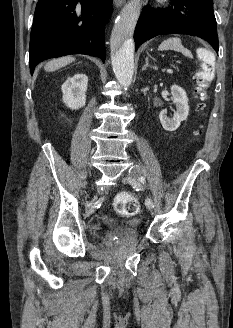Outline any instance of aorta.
<instances>
[{"mask_svg":"<svg viewBox=\"0 0 233 328\" xmlns=\"http://www.w3.org/2000/svg\"><path fill=\"white\" fill-rule=\"evenodd\" d=\"M141 13V1L131 0L122 9L111 35V60L118 82L127 88L134 71L132 33Z\"/></svg>","mask_w":233,"mask_h":328,"instance_id":"762f6f07","label":"aorta"}]
</instances>
